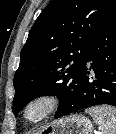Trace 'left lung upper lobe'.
<instances>
[{"mask_svg":"<svg viewBox=\"0 0 116 134\" xmlns=\"http://www.w3.org/2000/svg\"><path fill=\"white\" fill-rule=\"evenodd\" d=\"M114 0H52L41 12L21 50L14 75L15 116L32 99L54 95L59 107L77 91L88 46Z\"/></svg>","mask_w":116,"mask_h":134,"instance_id":"left-lung-upper-lobe-1","label":"left lung upper lobe"}]
</instances>
